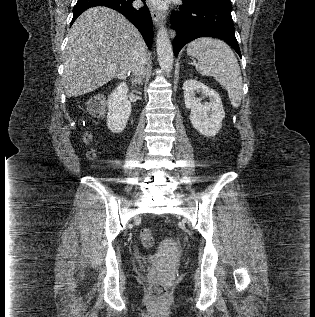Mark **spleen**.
<instances>
[{
	"label": "spleen",
	"mask_w": 315,
	"mask_h": 317,
	"mask_svg": "<svg viewBox=\"0 0 315 317\" xmlns=\"http://www.w3.org/2000/svg\"><path fill=\"white\" fill-rule=\"evenodd\" d=\"M187 54L198 60L196 70L214 77L228 91L231 105L237 108L243 95L240 67L232 49L219 39L198 38L187 46Z\"/></svg>",
	"instance_id": "1"
}]
</instances>
